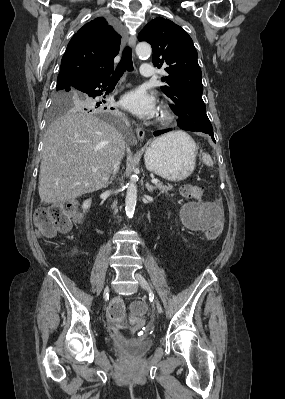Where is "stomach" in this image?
Returning a JSON list of instances; mask_svg holds the SVG:
<instances>
[{
    "label": "stomach",
    "instance_id": "obj_1",
    "mask_svg": "<svg viewBox=\"0 0 285 399\" xmlns=\"http://www.w3.org/2000/svg\"><path fill=\"white\" fill-rule=\"evenodd\" d=\"M177 132L180 134L154 140L144 156L148 170L170 181L185 179L195 167L197 148L194 141L186 133Z\"/></svg>",
    "mask_w": 285,
    "mask_h": 399
}]
</instances>
